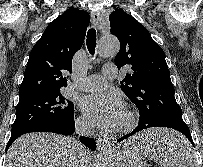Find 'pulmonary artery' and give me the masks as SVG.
Segmentation results:
<instances>
[{"mask_svg":"<svg viewBox=\"0 0 203 167\" xmlns=\"http://www.w3.org/2000/svg\"><path fill=\"white\" fill-rule=\"evenodd\" d=\"M102 72V75L93 74L84 78L79 87L86 91L102 89L106 85V80L115 78L118 71L114 64H105Z\"/></svg>","mask_w":203,"mask_h":167,"instance_id":"e3ab8cb5","label":"pulmonary artery"}]
</instances>
